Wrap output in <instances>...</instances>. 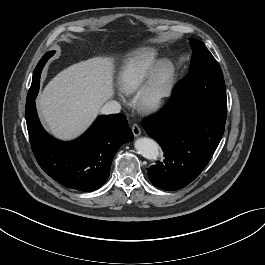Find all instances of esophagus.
I'll return each instance as SVG.
<instances>
[{
    "label": "esophagus",
    "instance_id": "1",
    "mask_svg": "<svg viewBox=\"0 0 265 265\" xmlns=\"http://www.w3.org/2000/svg\"><path fill=\"white\" fill-rule=\"evenodd\" d=\"M132 132L135 137H138L141 135V129L138 124L134 123L132 125Z\"/></svg>",
    "mask_w": 265,
    "mask_h": 265
}]
</instances>
